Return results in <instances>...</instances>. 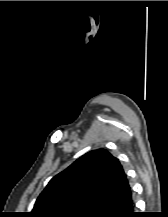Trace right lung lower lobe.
Instances as JSON below:
<instances>
[{"instance_id": "98d812e1", "label": "right lung lower lobe", "mask_w": 168, "mask_h": 217, "mask_svg": "<svg viewBox=\"0 0 168 217\" xmlns=\"http://www.w3.org/2000/svg\"><path fill=\"white\" fill-rule=\"evenodd\" d=\"M102 217H140L137 212H134V202L132 197L121 205L115 207Z\"/></svg>"}]
</instances>
